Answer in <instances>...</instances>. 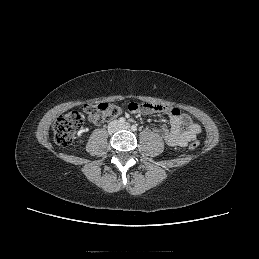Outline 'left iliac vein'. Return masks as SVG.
<instances>
[{
    "label": "left iliac vein",
    "mask_w": 259,
    "mask_h": 259,
    "mask_svg": "<svg viewBox=\"0 0 259 259\" xmlns=\"http://www.w3.org/2000/svg\"><path fill=\"white\" fill-rule=\"evenodd\" d=\"M121 129H130V124L129 123H124L120 125Z\"/></svg>",
    "instance_id": "left-iliac-vein-1"
}]
</instances>
